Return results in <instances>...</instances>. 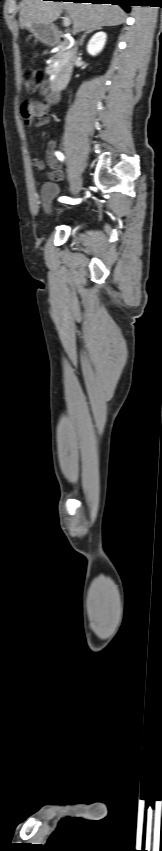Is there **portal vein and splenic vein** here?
<instances>
[{"label":"portal vein and splenic vein","mask_w":162,"mask_h":851,"mask_svg":"<svg viewBox=\"0 0 162 851\" xmlns=\"http://www.w3.org/2000/svg\"><path fill=\"white\" fill-rule=\"evenodd\" d=\"M63 25H64L65 27H68V26H70V25H71V19H70L68 16H65V17L63 18Z\"/></svg>","instance_id":"1"}]
</instances>
